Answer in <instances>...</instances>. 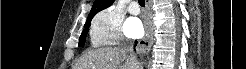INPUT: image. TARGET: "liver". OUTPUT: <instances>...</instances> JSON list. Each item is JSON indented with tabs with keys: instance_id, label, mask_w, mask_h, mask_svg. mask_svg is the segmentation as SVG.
I'll list each match as a JSON object with an SVG mask.
<instances>
[{
	"instance_id": "6515ba94",
	"label": "liver",
	"mask_w": 246,
	"mask_h": 69,
	"mask_svg": "<svg viewBox=\"0 0 246 69\" xmlns=\"http://www.w3.org/2000/svg\"><path fill=\"white\" fill-rule=\"evenodd\" d=\"M124 62L123 65H121ZM75 69H140L129 60V53L122 47H102L84 54Z\"/></svg>"
}]
</instances>
